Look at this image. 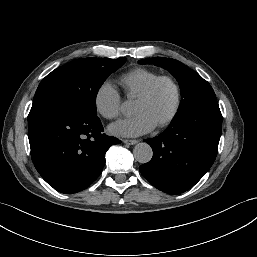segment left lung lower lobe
Wrapping results in <instances>:
<instances>
[{
  "label": "left lung lower lobe",
  "instance_id": "1",
  "mask_svg": "<svg viewBox=\"0 0 257 257\" xmlns=\"http://www.w3.org/2000/svg\"><path fill=\"white\" fill-rule=\"evenodd\" d=\"M221 131L222 115L217 102L174 119L162 134L145 140L152 147L153 157L140 166V172L163 192L187 191L212 166Z\"/></svg>",
  "mask_w": 257,
  "mask_h": 257
}]
</instances>
